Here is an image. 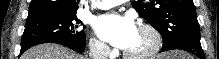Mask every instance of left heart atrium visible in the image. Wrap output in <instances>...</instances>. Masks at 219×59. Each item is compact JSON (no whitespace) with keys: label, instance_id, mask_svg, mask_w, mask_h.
<instances>
[{"label":"left heart atrium","instance_id":"39dd6f15","mask_svg":"<svg viewBox=\"0 0 219 59\" xmlns=\"http://www.w3.org/2000/svg\"><path fill=\"white\" fill-rule=\"evenodd\" d=\"M93 27L102 40L120 49H126L139 30L131 17L118 13L99 16Z\"/></svg>","mask_w":219,"mask_h":59}]
</instances>
